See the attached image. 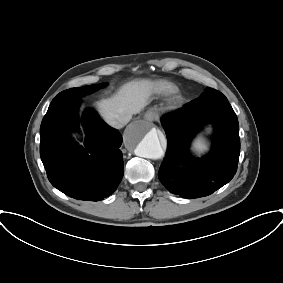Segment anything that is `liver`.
<instances>
[{
    "label": "liver",
    "instance_id": "6515ba94",
    "mask_svg": "<svg viewBox=\"0 0 283 283\" xmlns=\"http://www.w3.org/2000/svg\"><path fill=\"white\" fill-rule=\"evenodd\" d=\"M153 85L147 80L133 81L121 87L116 95L98 103L103 118L110 120L130 121L147 104Z\"/></svg>",
    "mask_w": 283,
    "mask_h": 283
}]
</instances>
